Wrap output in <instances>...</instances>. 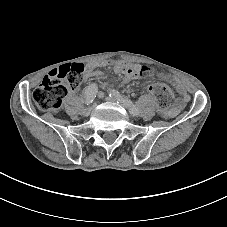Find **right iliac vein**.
Instances as JSON below:
<instances>
[{
  "label": "right iliac vein",
  "mask_w": 227,
  "mask_h": 227,
  "mask_svg": "<svg viewBox=\"0 0 227 227\" xmlns=\"http://www.w3.org/2000/svg\"><path fill=\"white\" fill-rule=\"evenodd\" d=\"M92 109H93V106H89V107H87V108L85 109L84 113H85L86 115H88L89 113H91Z\"/></svg>",
  "instance_id": "63e3f726"
}]
</instances>
